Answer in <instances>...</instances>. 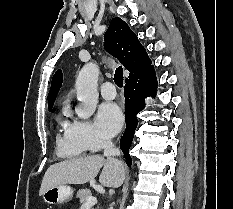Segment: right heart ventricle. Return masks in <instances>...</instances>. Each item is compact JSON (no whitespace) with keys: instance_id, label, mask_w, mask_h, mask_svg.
I'll return each mask as SVG.
<instances>
[{"instance_id":"1","label":"right heart ventricle","mask_w":233,"mask_h":209,"mask_svg":"<svg viewBox=\"0 0 233 209\" xmlns=\"http://www.w3.org/2000/svg\"><path fill=\"white\" fill-rule=\"evenodd\" d=\"M68 114L67 104H64L61 113L57 116L58 134H57V154L62 158H78L86 153V149L73 141L69 134L70 124L65 120Z\"/></svg>"}]
</instances>
